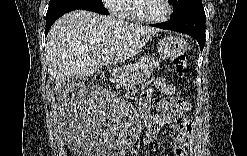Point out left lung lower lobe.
<instances>
[{
  "instance_id": "0a47b994",
  "label": "left lung lower lobe",
  "mask_w": 247,
  "mask_h": 156,
  "mask_svg": "<svg viewBox=\"0 0 247 156\" xmlns=\"http://www.w3.org/2000/svg\"><path fill=\"white\" fill-rule=\"evenodd\" d=\"M205 21L204 8L202 2H200L190 7L186 13L179 17L151 25L161 29L182 32L194 37L198 41L202 52L205 45Z\"/></svg>"
}]
</instances>
